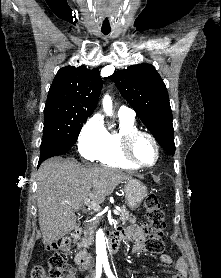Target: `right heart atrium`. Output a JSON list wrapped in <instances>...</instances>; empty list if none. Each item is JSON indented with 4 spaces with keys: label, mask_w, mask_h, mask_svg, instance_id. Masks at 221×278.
Here are the masks:
<instances>
[{
    "label": "right heart atrium",
    "mask_w": 221,
    "mask_h": 278,
    "mask_svg": "<svg viewBox=\"0 0 221 278\" xmlns=\"http://www.w3.org/2000/svg\"><path fill=\"white\" fill-rule=\"evenodd\" d=\"M107 130L99 115H94L82 126L78 136V151L88 161L96 160L101 151Z\"/></svg>",
    "instance_id": "obj_1"
}]
</instances>
